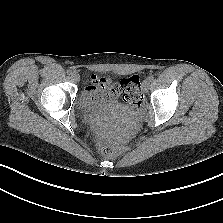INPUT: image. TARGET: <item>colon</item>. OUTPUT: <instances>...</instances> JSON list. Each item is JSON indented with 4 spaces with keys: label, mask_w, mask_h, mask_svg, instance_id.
I'll return each instance as SVG.
<instances>
[{
    "label": "colon",
    "mask_w": 223,
    "mask_h": 223,
    "mask_svg": "<svg viewBox=\"0 0 223 223\" xmlns=\"http://www.w3.org/2000/svg\"><path fill=\"white\" fill-rule=\"evenodd\" d=\"M119 87L121 89L122 99L125 103L134 109L141 106L143 96L138 76L133 75L123 79ZM100 151L105 156H113L116 154L117 149L113 145L101 143Z\"/></svg>",
    "instance_id": "5ec220e1"
}]
</instances>
